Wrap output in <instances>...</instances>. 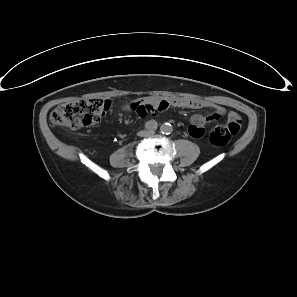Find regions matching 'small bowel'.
Masks as SVG:
<instances>
[{
  "instance_id": "1",
  "label": "small bowel",
  "mask_w": 297,
  "mask_h": 297,
  "mask_svg": "<svg viewBox=\"0 0 297 297\" xmlns=\"http://www.w3.org/2000/svg\"><path fill=\"white\" fill-rule=\"evenodd\" d=\"M172 107L189 108V109H200V108H213L215 113L212 115L204 116L200 114H195L191 118V123L188 128L189 134L194 138H199L204 134L205 126L224 116L227 111L224 107L218 106L208 101L196 100V99H185L177 98L170 100H155V99H142L135 101L133 103L127 104L125 108L127 110H134L141 116H145L148 113L161 112ZM237 114L234 112L228 113V118L232 119L236 117Z\"/></svg>"
}]
</instances>
